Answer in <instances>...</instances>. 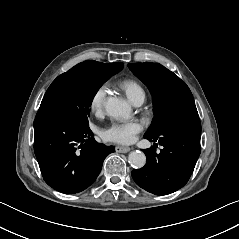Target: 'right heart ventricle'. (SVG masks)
<instances>
[{
    "instance_id": "1",
    "label": "right heart ventricle",
    "mask_w": 239,
    "mask_h": 239,
    "mask_svg": "<svg viewBox=\"0 0 239 239\" xmlns=\"http://www.w3.org/2000/svg\"><path fill=\"white\" fill-rule=\"evenodd\" d=\"M123 86L131 99L139 94L145 95L143 88L134 81H126Z\"/></svg>"
}]
</instances>
